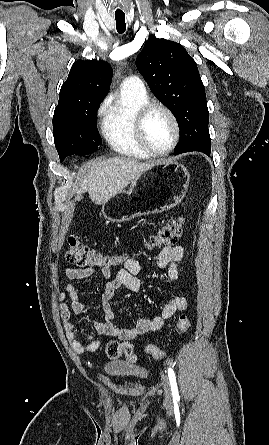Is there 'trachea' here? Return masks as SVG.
Wrapping results in <instances>:
<instances>
[{
	"mask_svg": "<svg viewBox=\"0 0 269 445\" xmlns=\"http://www.w3.org/2000/svg\"><path fill=\"white\" fill-rule=\"evenodd\" d=\"M116 29L117 32L122 34L126 30V23H125V15H116Z\"/></svg>",
	"mask_w": 269,
	"mask_h": 445,
	"instance_id": "3493384b",
	"label": "trachea"
}]
</instances>
